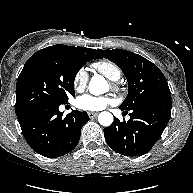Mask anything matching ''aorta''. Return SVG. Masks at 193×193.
Wrapping results in <instances>:
<instances>
[{
  "instance_id": "762f6f07",
  "label": "aorta",
  "mask_w": 193,
  "mask_h": 193,
  "mask_svg": "<svg viewBox=\"0 0 193 193\" xmlns=\"http://www.w3.org/2000/svg\"><path fill=\"white\" fill-rule=\"evenodd\" d=\"M89 92L93 95H100L107 91L108 84L103 76L95 75L89 82ZM98 121L102 126H110L113 123V115L110 112H101Z\"/></svg>"
}]
</instances>
